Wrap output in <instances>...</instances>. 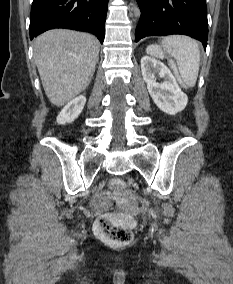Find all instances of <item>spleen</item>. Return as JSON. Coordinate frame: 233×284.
Returning a JSON list of instances; mask_svg holds the SVG:
<instances>
[{"instance_id": "spleen-1", "label": "spleen", "mask_w": 233, "mask_h": 284, "mask_svg": "<svg viewBox=\"0 0 233 284\" xmlns=\"http://www.w3.org/2000/svg\"><path fill=\"white\" fill-rule=\"evenodd\" d=\"M164 51L177 62L178 71L188 87H194L200 67V50L197 42L189 37L173 35L165 37L161 45H150L147 53L163 57Z\"/></svg>"}]
</instances>
